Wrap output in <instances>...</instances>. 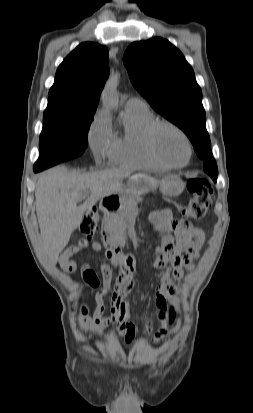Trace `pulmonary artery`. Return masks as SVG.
<instances>
[{
    "instance_id": "obj_1",
    "label": "pulmonary artery",
    "mask_w": 253,
    "mask_h": 413,
    "mask_svg": "<svg viewBox=\"0 0 253 413\" xmlns=\"http://www.w3.org/2000/svg\"><path fill=\"white\" fill-rule=\"evenodd\" d=\"M126 107L129 108H147V104L145 101L139 99V98H130L126 102Z\"/></svg>"
}]
</instances>
